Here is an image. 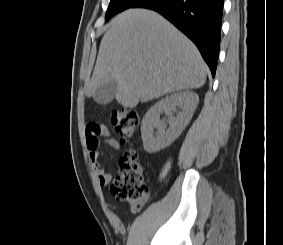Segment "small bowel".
I'll return each mask as SVG.
<instances>
[{"instance_id":"small-bowel-1","label":"small bowel","mask_w":283,"mask_h":245,"mask_svg":"<svg viewBox=\"0 0 283 245\" xmlns=\"http://www.w3.org/2000/svg\"><path fill=\"white\" fill-rule=\"evenodd\" d=\"M109 128L104 124L89 123L86 127V145L95 172L101 186H106L111 181V174L106 172L99 160V146L102 142L107 143L114 149H119L120 144L116 139L108 138Z\"/></svg>"}]
</instances>
